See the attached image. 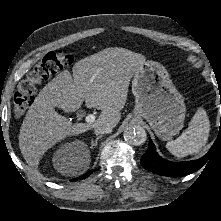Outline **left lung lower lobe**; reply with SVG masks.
<instances>
[{"instance_id":"0a47b994","label":"left lung lower lobe","mask_w":221,"mask_h":221,"mask_svg":"<svg viewBox=\"0 0 221 221\" xmlns=\"http://www.w3.org/2000/svg\"><path fill=\"white\" fill-rule=\"evenodd\" d=\"M219 142H221V133H218L216 142L214 143L210 151L202 158L187 162H170L158 155L152 140H150L148 150L141 157V165L146 170L162 176H185L199 170L207 162L215 146Z\"/></svg>"}]
</instances>
